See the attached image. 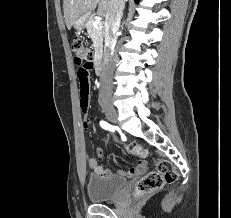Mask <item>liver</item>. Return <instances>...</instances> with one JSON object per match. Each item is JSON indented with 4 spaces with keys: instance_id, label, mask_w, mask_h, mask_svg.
Here are the masks:
<instances>
[{
    "instance_id": "liver-1",
    "label": "liver",
    "mask_w": 231,
    "mask_h": 218,
    "mask_svg": "<svg viewBox=\"0 0 231 218\" xmlns=\"http://www.w3.org/2000/svg\"><path fill=\"white\" fill-rule=\"evenodd\" d=\"M111 0H64L63 10L67 29L70 30L80 17H88L96 9L97 14L105 16L110 10Z\"/></svg>"
}]
</instances>
